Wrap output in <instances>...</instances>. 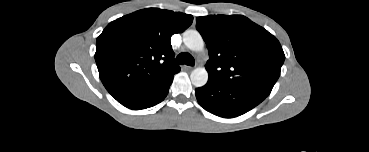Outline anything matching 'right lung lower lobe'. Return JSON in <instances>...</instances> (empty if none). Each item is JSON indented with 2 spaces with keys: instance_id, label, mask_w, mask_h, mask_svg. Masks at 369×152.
Listing matches in <instances>:
<instances>
[{
  "instance_id": "right-lung-lower-lobe-1",
  "label": "right lung lower lobe",
  "mask_w": 369,
  "mask_h": 152,
  "mask_svg": "<svg viewBox=\"0 0 369 152\" xmlns=\"http://www.w3.org/2000/svg\"><path fill=\"white\" fill-rule=\"evenodd\" d=\"M174 74L168 76L161 83L151 88L145 89L131 96L121 98L117 101L125 107L133 110L152 107L160 103L167 96Z\"/></svg>"
}]
</instances>
